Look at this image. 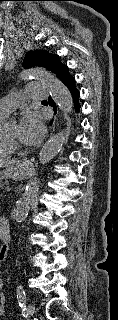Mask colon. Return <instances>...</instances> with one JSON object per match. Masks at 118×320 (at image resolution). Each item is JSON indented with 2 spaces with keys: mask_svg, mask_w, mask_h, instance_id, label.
Wrapping results in <instances>:
<instances>
[{
  "mask_svg": "<svg viewBox=\"0 0 118 320\" xmlns=\"http://www.w3.org/2000/svg\"><path fill=\"white\" fill-rule=\"evenodd\" d=\"M4 257H5L4 252L0 251V261H3Z\"/></svg>",
  "mask_w": 118,
  "mask_h": 320,
  "instance_id": "colon-1",
  "label": "colon"
}]
</instances>
